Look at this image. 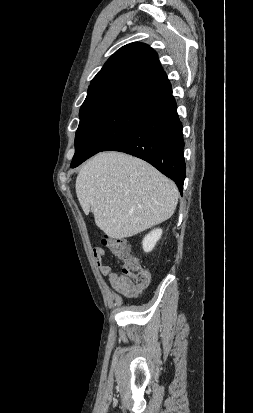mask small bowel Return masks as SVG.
<instances>
[{
  "label": "small bowel",
  "mask_w": 253,
  "mask_h": 413,
  "mask_svg": "<svg viewBox=\"0 0 253 413\" xmlns=\"http://www.w3.org/2000/svg\"><path fill=\"white\" fill-rule=\"evenodd\" d=\"M93 257L100 274L107 277L108 283L117 294L130 299L137 297L145 289L146 286L136 285L124 274L116 272L110 265L104 264L105 253L101 247L93 248Z\"/></svg>",
  "instance_id": "small-bowel-1"
}]
</instances>
